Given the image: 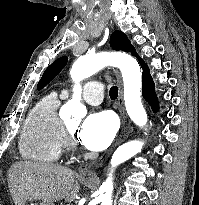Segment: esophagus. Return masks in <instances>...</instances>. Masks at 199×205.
<instances>
[{
	"label": "esophagus",
	"instance_id": "esophagus-1",
	"mask_svg": "<svg viewBox=\"0 0 199 205\" xmlns=\"http://www.w3.org/2000/svg\"><path fill=\"white\" fill-rule=\"evenodd\" d=\"M114 73H115L117 83L119 86L117 105H118L119 115L121 118L120 134L117 137L116 141L113 143V145L104 154H102L101 157H99L98 159L92 162H89V163H86L80 166L79 174L82 177H93L95 175L96 170L105 163V161L107 160L109 155L112 153V151L115 149V147H117L120 143H122L128 137L131 131L130 121L127 117V114L125 112L124 105H123L121 76L118 70H114Z\"/></svg>",
	"mask_w": 199,
	"mask_h": 205
}]
</instances>
